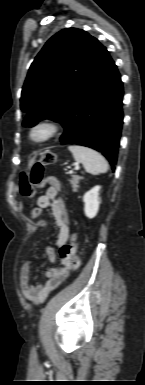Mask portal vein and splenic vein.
Segmentation results:
<instances>
[{
  "mask_svg": "<svg viewBox=\"0 0 145 385\" xmlns=\"http://www.w3.org/2000/svg\"><path fill=\"white\" fill-rule=\"evenodd\" d=\"M79 168H80V166L78 164H76L75 167H74V170H78Z\"/></svg>",
  "mask_w": 145,
  "mask_h": 385,
  "instance_id": "18ae733b",
  "label": "portal vein and splenic vein"
}]
</instances>
